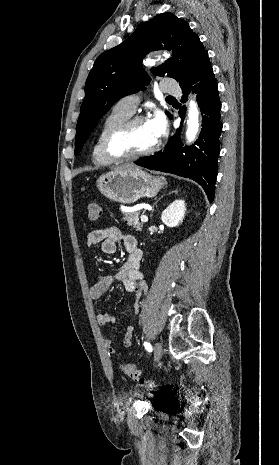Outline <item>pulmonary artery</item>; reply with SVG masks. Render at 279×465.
<instances>
[{
	"label": "pulmonary artery",
	"instance_id": "obj_1",
	"mask_svg": "<svg viewBox=\"0 0 279 465\" xmlns=\"http://www.w3.org/2000/svg\"><path fill=\"white\" fill-rule=\"evenodd\" d=\"M162 91L164 93L176 95V94H179L180 88L176 84L165 83L162 86ZM139 100H140V98H139L138 95L132 94V95H128V96L123 97L117 104L120 107H122L124 110H126L129 113L133 114L137 109V106L139 104Z\"/></svg>",
	"mask_w": 279,
	"mask_h": 465
}]
</instances>
